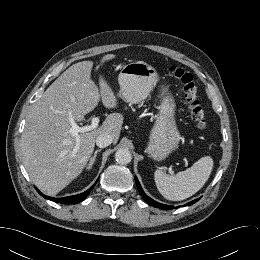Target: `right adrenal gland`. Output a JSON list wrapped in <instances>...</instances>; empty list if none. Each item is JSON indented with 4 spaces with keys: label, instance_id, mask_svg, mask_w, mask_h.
I'll return each instance as SVG.
<instances>
[{
    "label": "right adrenal gland",
    "instance_id": "obj_1",
    "mask_svg": "<svg viewBox=\"0 0 260 260\" xmlns=\"http://www.w3.org/2000/svg\"><path fill=\"white\" fill-rule=\"evenodd\" d=\"M99 152H101V149H98V150H96V151L94 152L93 157L90 158V162H89V164H88V166H87V169H91V168H92V166H93V164H94V162H95V159H96V157H97V153H99Z\"/></svg>",
    "mask_w": 260,
    "mask_h": 260
}]
</instances>
